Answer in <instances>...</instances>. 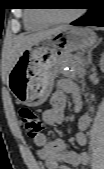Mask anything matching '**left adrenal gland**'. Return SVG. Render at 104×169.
Returning <instances> with one entry per match:
<instances>
[{"label":"left adrenal gland","mask_w":104,"mask_h":169,"mask_svg":"<svg viewBox=\"0 0 104 169\" xmlns=\"http://www.w3.org/2000/svg\"><path fill=\"white\" fill-rule=\"evenodd\" d=\"M94 47H96V45H95ZM94 47H93V48H94ZM93 48H91V49L88 51V55H87V58H86V64H87V65H90V64L92 63V60H91V51H92Z\"/></svg>","instance_id":"obj_1"}]
</instances>
